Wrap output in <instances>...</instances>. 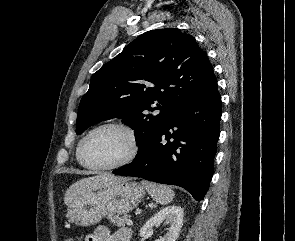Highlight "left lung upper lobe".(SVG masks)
I'll list each match as a JSON object with an SVG mask.
<instances>
[{"mask_svg": "<svg viewBox=\"0 0 295 241\" xmlns=\"http://www.w3.org/2000/svg\"><path fill=\"white\" fill-rule=\"evenodd\" d=\"M215 81L206 53L192 36L175 28L145 32L92 75L76 133L122 118L134 129L138 155L175 110Z\"/></svg>", "mask_w": 295, "mask_h": 241, "instance_id": "5c2ea615", "label": "left lung upper lobe"}]
</instances>
